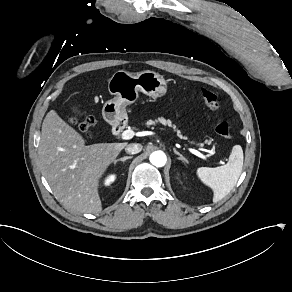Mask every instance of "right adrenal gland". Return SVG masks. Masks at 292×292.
Listing matches in <instances>:
<instances>
[{
	"label": "right adrenal gland",
	"mask_w": 292,
	"mask_h": 292,
	"mask_svg": "<svg viewBox=\"0 0 292 292\" xmlns=\"http://www.w3.org/2000/svg\"><path fill=\"white\" fill-rule=\"evenodd\" d=\"M132 158H133V156H129V157L121 158V159H119L118 161H116V162L114 163V165L116 166L119 162H122L123 165H125V161L128 160V159H132ZM123 175L125 176V174H123Z\"/></svg>",
	"instance_id": "right-adrenal-gland-1"
}]
</instances>
